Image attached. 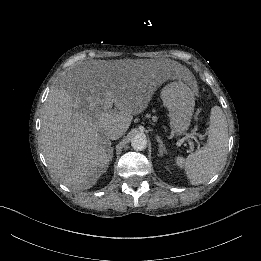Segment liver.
Segmentation results:
<instances>
[{
    "label": "liver",
    "instance_id": "6515ba94",
    "mask_svg": "<svg viewBox=\"0 0 261 261\" xmlns=\"http://www.w3.org/2000/svg\"><path fill=\"white\" fill-rule=\"evenodd\" d=\"M164 81L149 64L86 62L69 69L51 89L41 119L39 139L53 177L74 190L94 186L110 161L107 132H126Z\"/></svg>",
    "mask_w": 261,
    "mask_h": 261
}]
</instances>
